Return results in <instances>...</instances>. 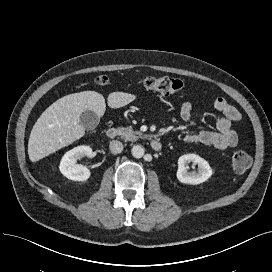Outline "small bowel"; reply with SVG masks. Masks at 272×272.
<instances>
[{
  "instance_id": "small-bowel-1",
  "label": "small bowel",
  "mask_w": 272,
  "mask_h": 272,
  "mask_svg": "<svg viewBox=\"0 0 272 272\" xmlns=\"http://www.w3.org/2000/svg\"><path fill=\"white\" fill-rule=\"evenodd\" d=\"M214 106L222 113V117L217 122L216 130L188 133L184 136L186 143H201L218 149H226L237 145L238 135L232 129V123L241 120L242 115L240 111L222 97L215 99ZM192 111L193 104L184 102L179 109L181 119L189 121Z\"/></svg>"
}]
</instances>
